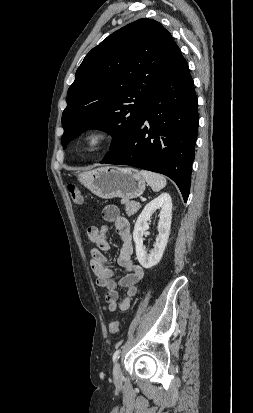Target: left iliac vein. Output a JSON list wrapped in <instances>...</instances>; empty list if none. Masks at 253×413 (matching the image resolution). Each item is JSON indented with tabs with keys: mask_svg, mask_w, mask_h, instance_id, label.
I'll return each mask as SVG.
<instances>
[{
	"mask_svg": "<svg viewBox=\"0 0 253 413\" xmlns=\"http://www.w3.org/2000/svg\"><path fill=\"white\" fill-rule=\"evenodd\" d=\"M113 377L116 381L120 380L122 377V372L120 368V364L116 362L113 367Z\"/></svg>",
	"mask_w": 253,
	"mask_h": 413,
	"instance_id": "left-iliac-vein-1",
	"label": "left iliac vein"
}]
</instances>
